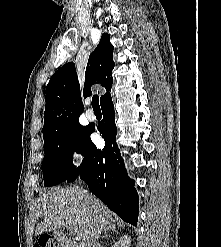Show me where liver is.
I'll return each mask as SVG.
<instances>
[{"instance_id": "liver-1", "label": "liver", "mask_w": 221, "mask_h": 247, "mask_svg": "<svg viewBox=\"0 0 221 247\" xmlns=\"http://www.w3.org/2000/svg\"><path fill=\"white\" fill-rule=\"evenodd\" d=\"M32 222L37 225L36 235L66 227L79 238L80 247H95L101 232L114 226L110 210L88 191L77 187L54 188L43 193L35 203Z\"/></svg>"}]
</instances>
